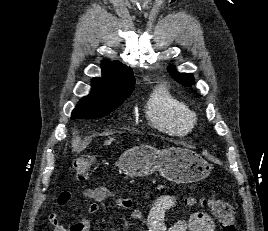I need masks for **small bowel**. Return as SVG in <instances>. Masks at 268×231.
<instances>
[{"label": "small bowel", "instance_id": "1", "mask_svg": "<svg viewBox=\"0 0 268 231\" xmlns=\"http://www.w3.org/2000/svg\"><path fill=\"white\" fill-rule=\"evenodd\" d=\"M84 197L91 201L89 212L97 213L101 209V203L105 200H113L124 210L131 211V217L140 222L146 231H213L214 225L209 215L197 212L188 219L176 221L169 228L166 227V213L177 204V198L172 195H163L156 199L150 206L149 214L144 217L140 210L133 208V200L121 194L117 189L108 186L88 188L84 191ZM61 204H65L62 201ZM60 213H52L48 221L53 225V231H89L90 220L83 217L78 222L65 226L60 221Z\"/></svg>", "mask_w": 268, "mask_h": 231}]
</instances>
